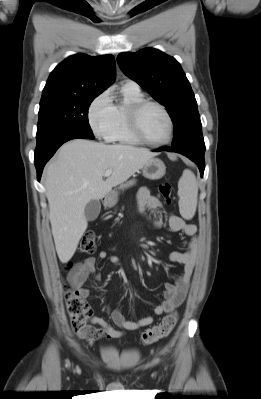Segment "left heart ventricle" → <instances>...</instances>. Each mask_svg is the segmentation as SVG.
<instances>
[{"label":"left heart ventricle","instance_id":"left-heart-ventricle-1","mask_svg":"<svg viewBox=\"0 0 261 399\" xmlns=\"http://www.w3.org/2000/svg\"><path fill=\"white\" fill-rule=\"evenodd\" d=\"M140 124L145 136L153 141H163L169 133V124L163 112L155 107H146L140 115Z\"/></svg>","mask_w":261,"mask_h":399}]
</instances>
